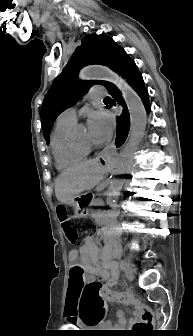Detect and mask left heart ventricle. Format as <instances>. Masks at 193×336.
Here are the masks:
<instances>
[{
  "label": "left heart ventricle",
  "mask_w": 193,
  "mask_h": 336,
  "mask_svg": "<svg viewBox=\"0 0 193 336\" xmlns=\"http://www.w3.org/2000/svg\"><path fill=\"white\" fill-rule=\"evenodd\" d=\"M86 141H91L89 134L87 131H84L81 135V137L79 138V142H86Z\"/></svg>",
  "instance_id": "1"
}]
</instances>
